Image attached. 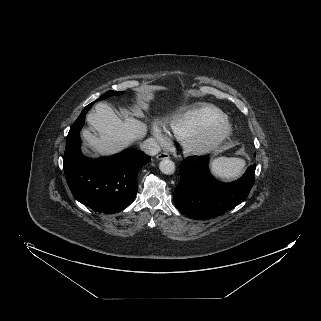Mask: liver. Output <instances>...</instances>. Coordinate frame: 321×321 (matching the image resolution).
I'll return each instance as SVG.
<instances>
[{
  "mask_svg": "<svg viewBox=\"0 0 321 321\" xmlns=\"http://www.w3.org/2000/svg\"><path fill=\"white\" fill-rule=\"evenodd\" d=\"M87 121L98 132V136L84 129L82 136L89 147L100 155L108 156L120 152L134 141L147 134V125L127 112L121 120L107 104L98 103L95 112L88 114ZM89 153V150L85 149Z\"/></svg>",
  "mask_w": 321,
  "mask_h": 321,
  "instance_id": "liver-1",
  "label": "liver"
}]
</instances>
